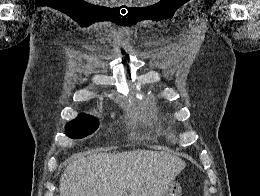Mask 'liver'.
I'll return each instance as SVG.
<instances>
[{
  "label": "liver",
  "mask_w": 260,
  "mask_h": 196,
  "mask_svg": "<svg viewBox=\"0 0 260 196\" xmlns=\"http://www.w3.org/2000/svg\"><path fill=\"white\" fill-rule=\"evenodd\" d=\"M186 164L169 152L78 154L60 180V196H165Z\"/></svg>",
  "instance_id": "liver-1"
}]
</instances>
